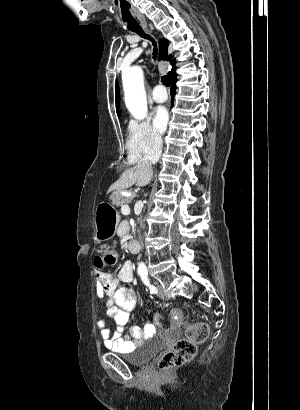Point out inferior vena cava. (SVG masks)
I'll return each instance as SVG.
<instances>
[{
	"label": "inferior vena cava",
	"mask_w": 300,
	"mask_h": 410,
	"mask_svg": "<svg viewBox=\"0 0 300 410\" xmlns=\"http://www.w3.org/2000/svg\"><path fill=\"white\" fill-rule=\"evenodd\" d=\"M153 149L148 151L141 162L138 164L140 167L151 168L152 164L156 163L159 160L161 155L162 148V138L160 135H156L153 138L152 142ZM138 243L141 250H144L145 240L142 237L138 238Z\"/></svg>",
	"instance_id": "inferior-vena-cava-1"
}]
</instances>
